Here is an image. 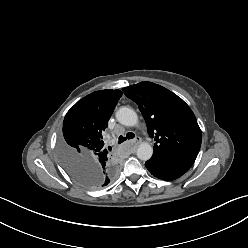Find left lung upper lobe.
<instances>
[{
    "label": "left lung upper lobe",
    "instance_id": "left-lung-upper-lobe-1",
    "mask_svg": "<svg viewBox=\"0 0 248 248\" xmlns=\"http://www.w3.org/2000/svg\"><path fill=\"white\" fill-rule=\"evenodd\" d=\"M136 102L154 138L153 156L168 160L197 157L202 134L190 107L176 94L152 82H140L122 89Z\"/></svg>",
    "mask_w": 248,
    "mask_h": 248
}]
</instances>
